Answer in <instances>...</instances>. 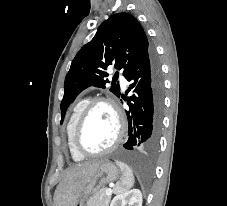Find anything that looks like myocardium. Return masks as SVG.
Segmentation results:
<instances>
[{
	"label": "myocardium",
	"instance_id": "f54148a6",
	"mask_svg": "<svg viewBox=\"0 0 227 206\" xmlns=\"http://www.w3.org/2000/svg\"><path fill=\"white\" fill-rule=\"evenodd\" d=\"M100 104L108 105L113 110L117 120L118 130H117L116 138L114 139L113 143L110 146H108L107 148L101 151L92 152V151H88L82 146L80 141V136L89 114L96 106ZM125 129H126L125 118L119 105L110 97L94 98L91 101H89V103L85 106V108L82 110L77 120V123L73 131V137H72L73 147L79 154L83 155L84 157L85 156L96 157V156L105 155L113 151L122 142L125 135Z\"/></svg>",
	"mask_w": 227,
	"mask_h": 206
}]
</instances>
